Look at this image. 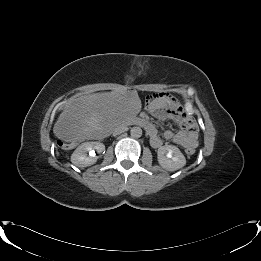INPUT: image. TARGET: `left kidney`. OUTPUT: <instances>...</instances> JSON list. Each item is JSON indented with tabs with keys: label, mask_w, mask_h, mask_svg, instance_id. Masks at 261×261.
Returning a JSON list of instances; mask_svg holds the SVG:
<instances>
[{
	"label": "left kidney",
	"mask_w": 261,
	"mask_h": 261,
	"mask_svg": "<svg viewBox=\"0 0 261 261\" xmlns=\"http://www.w3.org/2000/svg\"><path fill=\"white\" fill-rule=\"evenodd\" d=\"M157 159L160 166L168 171H176L186 165V158L174 145H165L158 149Z\"/></svg>",
	"instance_id": "obj_1"
}]
</instances>
